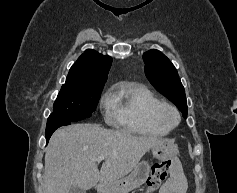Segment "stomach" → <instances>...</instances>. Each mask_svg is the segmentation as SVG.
Listing matches in <instances>:
<instances>
[{
  "label": "stomach",
  "instance_id": "0dacf381",
  "mask_svg": "<svg viewBox=\"0 0 237 193\" xmlns=\"http://www.w3.org/2000/svg\"><path fill=\"white\" fill-rule=\"evenodd\" d=\"M177 148L168 141H163L152 147V154L159 160H167L176 155ZM150 166L148 162H140L126 177L99 187L98 193H128L143 185L149 177Z\"/></svg>",
  "mask_w": 237,
  "mask_h": 193
}]
</instances>
